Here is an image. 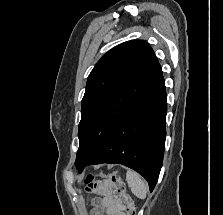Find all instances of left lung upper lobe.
<instances>
[{
	"instance_id": "1",
	"label": "left lung upper lobe",
	"mask_w": 223,
	"mask_h": 215,
	"mask_svg": "<svg viewBox=\"0 0 223 215\" xmlns=\"http://www.w3.org/2000/svg\"><path fill=\"white\" fill-rule=\"evenodd\" d=\"M160 70L155 53L144 40L124 42L102 56L88 77L82 99L77 169L93 157Z\"/></svg>"
}]
</instances>
